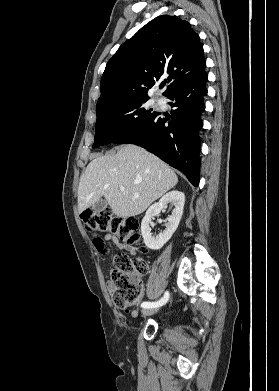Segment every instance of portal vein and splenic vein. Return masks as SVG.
Wrapping results in <instances>:
<instances>
[{"mask_svg": "<svg viewBox=\"0 0 279 391\" xmlns=\"http://www.w3.org/2000/svg\"><path fill=\"white\" fill-rule=\"evenodd\" d=\"M120 190H121V191H124L125 188H124L123 186H121V187H120ZM135 197H138V195H135Z\"/></svg>", "mask_w": 279, "mask_h": 391, "instance_id": "obj_1", "label": "portal vein and splenic vein"}]
</instances>
